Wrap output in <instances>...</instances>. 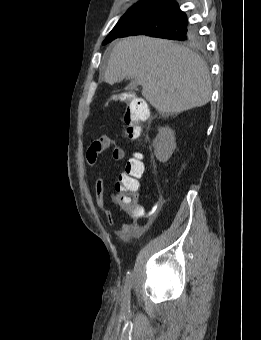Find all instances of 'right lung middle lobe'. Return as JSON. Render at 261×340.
<instances>
[{
  "label": "right lung middle lobe",
  "instance_id": "right-lung-middle-lobe-1",
  "mask_svg": "<svg viewBox=\"0 0 261 340\" xmlns=\"http://www.w3.org/2000/svg\"><path fill=\"white\" fill-rule=\"evenodd\" d=\"M159 3L153 2H139L133 5L127 12L124 14L121 19L118 21L116 26L110 32V34L106 37L103 44L109 43L112 40L118 38L124 31H126L129 27H131L135 22H137L140 18L146 15L148 12L153 10L158 6ZM172 40H179L186 44H190L193 46L200 45V38L198 36V32L195 27L191 26L189 29L174 34L171 38Z\"/></svg>",
  "mask_w": 261,
  "mask_h": 340
}]
</instances>
